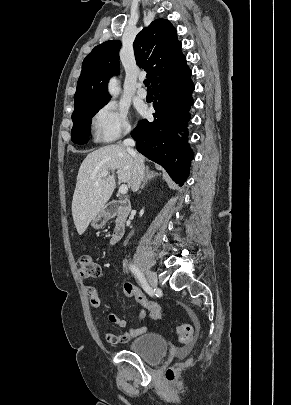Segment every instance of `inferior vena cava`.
I'll return each mask as SVG.
<instances>
[{"mask_svg": "<svg viewBox=\"0 0 291 405\" xmlns=\"http://www.w3.org/2000/svg\"><path fill=\"white\" fill-rule=\"evenodd\" d=\"M123 145L126 147L127 152L132 157V181H131V188L133 192H136L141 184V181L144 177V165L141 161L138 154L133 150V146L135 145V141L131 138H128L123 141Z\"/></svg>", "mask_w": 291, "mask_h": 405, "instance_id": "602c4592", "label": "inferior vena cava"}]
</instances>
